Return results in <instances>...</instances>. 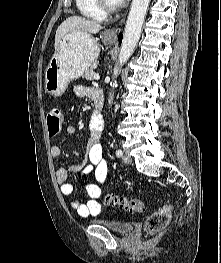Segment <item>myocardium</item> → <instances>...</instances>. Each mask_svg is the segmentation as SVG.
Wrapping results in <instances>:
<instances>
[{"mask_svg": "<svg viewBox=\"0 0 221 263\" xmlns=\"http://www.w3.org/2000/svg\"><path fill=\"white\" fill-rule=\"evenodd\" d=\"M98 7L105 13H111L117 10L118 5L110 3L108 0H95Z\"/></svg>", "mask_w": 221, "mask_h": 263, "instance_id": "myocardium-1", "label": "myocardium"}]
</instances>
